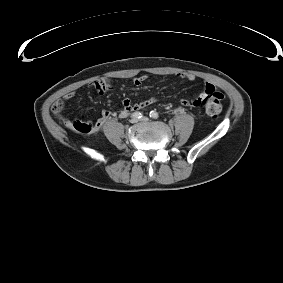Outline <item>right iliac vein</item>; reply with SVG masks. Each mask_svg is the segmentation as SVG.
I'll use <instances>...</instances> for the list:
<instances>
[{"mask_svg": "<svg viewBox=\"0 0 283 283\" xmlns=\"http://www.w3.org/2000/svg\"><path fill=\"white\" fill-rule=\"evenodd\" d=\"M130 122H131V123H136V122H137V119H136V118H132V119L130 120Z\"/></svg>", "mask_w": 283, "mask_h": 283, "instance_id": "1", "label": "right iliac vein"}]
</instances>
